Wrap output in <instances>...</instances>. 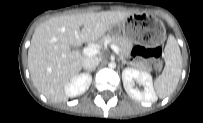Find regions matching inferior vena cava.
<instances>
[{"mask_svg": "<svg viewBox=\"0 0 203 123\" xmlns=\"http://www.w3.org/2000/svg\"><path fill=\"white\" fill-rule=\"evenodd\" d=\"M101 58L87 57L82 61V67L86 70H94L100 63Z\"/></svg>", "mask_w": 203, "mask_h": 123, "instance_id": "602c4592", "label": "inferior vena cava"}]
</instances>
